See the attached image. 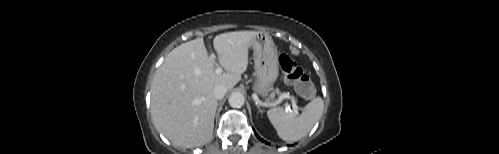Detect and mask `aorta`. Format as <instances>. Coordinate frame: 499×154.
I'll use <instances>...</instances> for the list:
<instances>
[{
    "label": "aorta",
    "mask_w": 499,
    "mask_h": 154,
    "mask_svg": "<svg viewBox=\"0 0 499 154\" xmlns=\"http://www.w3.org/2000/svg\"><path fill=\"white\" fill-rule=\"evenodd\" d=\"M229 105L233 108H239L244 105L245 102V97L242 93L240 92H233L229 99H228Z\"/></svg>",
    "instance_id": "aorta-1"
}]
</instances>
